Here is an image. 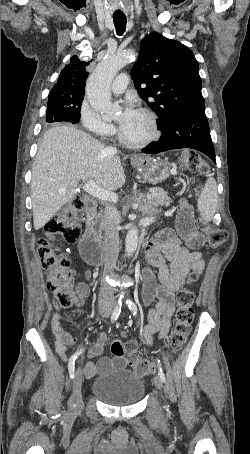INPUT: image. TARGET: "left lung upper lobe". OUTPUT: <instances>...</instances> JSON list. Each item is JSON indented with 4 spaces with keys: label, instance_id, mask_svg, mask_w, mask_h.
Listing matches in <instances>:
<instances>
[{
    "label": "left lung upper lobe",
    "instance_id": "left-lung-upper-lobe-1",
    "mask_svg": "<svg viewBox=\"0 0 250 454\" xmlns=\"http://www.w3.org/2000/svg\"><path fill=\"white\" fill-rule=\"evenodd\" d=\"M131 76L141 98L157 114L159 129L181 115L205 111L198 62L178 41L157 32L145 36Z\"/></svg>",
    "mask_w": 250,
    "mask_h": 454
}]
</instances>
